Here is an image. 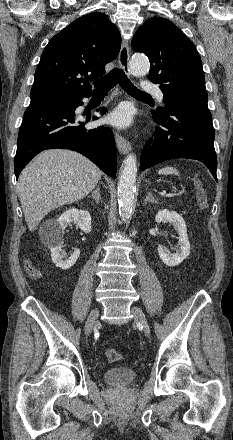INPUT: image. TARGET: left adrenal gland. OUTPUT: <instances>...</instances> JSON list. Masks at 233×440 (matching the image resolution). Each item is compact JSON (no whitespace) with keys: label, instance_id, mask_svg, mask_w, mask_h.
Returning a JSON list of instances; mask_svg holds the SVG:
<instances>
[{"label":"left adrenal gland","instance_id":"left-adrenal-gland-1","mask_svg":"<svg viewBox=\"0 0 233 440\" xmlns=\"http://www.w3.org/2000/svg\"><path fill=\"white\" fill-rule=\"evenodd\" d=\"M158 204V200L153 197L152 192H148V195L145 198V204L147 203Z\"/></svg>","mask_w":233,"mask_h":440}]
</instances>
